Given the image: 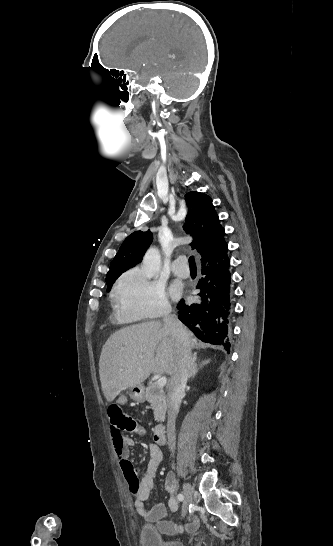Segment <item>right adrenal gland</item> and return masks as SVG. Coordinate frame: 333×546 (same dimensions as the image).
Listing matches in <instances>:
<instances>
[{
    "label": "right adrenal gland",
    "mask_w": 333,
    "mask_h": 546,
    "mask_svg": "<svg viewBox=\"0 0 333 546\" xmlns=\"http://www.w3.org/2000/svg\"><path fill=\"white\" fill-rule=\"evenodd\" d=\"M196 360H197V353L195 352V353L193 354L192 368H191L190 373H189V379H190V378H193V377L197 374L198 370H199L201 367H203L204 365H207V364L210 363V360H205V361H203L200 365H198V364L196 363Z\"/></svg>",
    "instance_id": "1"
}]
</instances>
